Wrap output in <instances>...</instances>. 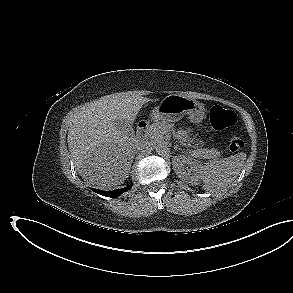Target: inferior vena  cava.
<instances>
[{"instance_id": "obj_1", "label": "inferior vena cava", "mask_w": 293, "mask_h": 293, "mask_svg": "<svg viewBox=\"0 0 293 293\" xmlns=\"http://www.w3.org/2000/svg\"><path fill=\"white\" fill-rule=\"evenodd\" d=\"M148 147V142L146 140H136L134 143V152L145 150Z\"/></svg>"}]
</instances>
